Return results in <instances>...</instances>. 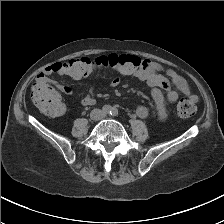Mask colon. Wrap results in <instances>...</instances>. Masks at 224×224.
<instances>
[{
  "instance_id": "5ec220e1",
  "label": "colon",
  "mask_w": 224,
  "mask_h": 224,
  "mask_svg": "<svg viewBox=\"0 0 224 224\" xmlns=\"http://www.w3.org/2000/svg\"><path fill=\"white\" fill-rule=\"evenodd\" d=\"M142 65L140 58L134 55L111 53L93 59L78 57L63 62V70L67 77L81 79L93 74L96 70L110 69L123 75H130ZM34 105L48 116H59L64 105L57 91L48 84L36 83L31 91ZM177 112L182 118L192 117L196 113L195 103L182 98L177 104Z\"/></svg>"
}]
</instances>
